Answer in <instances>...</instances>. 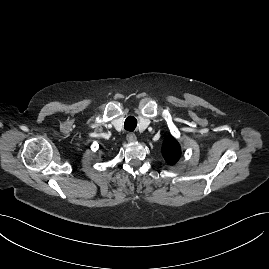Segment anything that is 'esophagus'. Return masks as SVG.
I'll return each mask as SVG.
<instances>
[{"instance_id": "obj_1", "label": "esophagus", "mask_w": 269, "mask_h": 269, "mask_svg": "<svg viewBox=\"0 0 269 269\" xmlns=\"http://www.w3.org/2000/svg\"><path fill=\"white\" fill-rule=\"evenodd\" d=\"M126 139H127L128 142H135L137 140V137H136L135 134L129 133L126 136Z\"/></svg>"}]
</instances>
